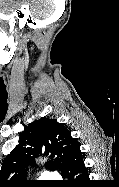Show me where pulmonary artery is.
<instances>
[{"label":"pulmonary artery","instance_id":"pulmonary-artery-1","mask_svg":"<svg viewBox=\"0 0 119 187\" xmlns=\"http://www.w3.org/2000/svg\"><path fill=\"white\" fill-rule=\"evenodd\" d=\"M44 177L47 178V179H58L59 175L55 172H48V173L45 174Z\"/></svg>","mask_w":119,"mask_h":187}]
</instances>
